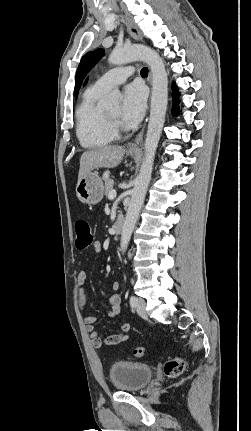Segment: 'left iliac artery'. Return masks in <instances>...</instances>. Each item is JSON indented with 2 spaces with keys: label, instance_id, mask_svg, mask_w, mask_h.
Segmentation results:
<instances>
[{
  "label": "left iliac artery",
  "instance_id": "left-iliac-artery-1",
  "mask_svg": "<svg viewBox=\"0 0 251 431\" xmlns=\"http://www.w3.org/2000/svg\"><path fill=\"white\" fill-rule=\"evenodd\" d=\"M130 305L131 307H136L137 305V298L135 296L130 297Z\"/></svg>",
  "mask_w": 251,
  "mask_h": 431
}]
</instances>
